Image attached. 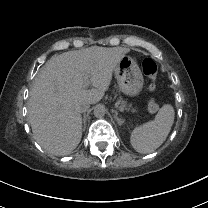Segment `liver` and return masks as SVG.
I'll return each instance as SVG.
<instances>
[{
    "mask_svg": "<svg viewBox=\"0 0 208 208\" xmlns=\"http://www.w3.org/2000/svg\"><path fill=\"white\" fill-rule=\"evenodd\" d=\"M130 52L121 47H89L53 56L36 76L28 104L34 139L55 155L69 154L82 138L80 100L96 104L109 90L113 73ZM87 83L94 89L86 90Z\"/></svg>",
    "mask_w": 208,
    "mask_h": 208,
    "instance_id": "6515ba94",
    "label": "liver"
}]
</instances>
